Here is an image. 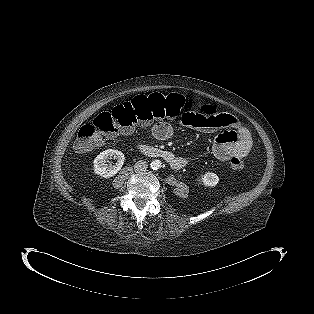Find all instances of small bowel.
<instances>
[{
    "instance_id": "small-bowel-1",
    "label": "small bowel",
    "mask_w": 314,
    "mask_h": 314,
    "mask_svg": "<svg viewBox=\"0 0 314 314\" xmlns=\"http://www.w3.org/2000/svg\"><path fill=\"white\" fill-rule=\"evenodd\" d=\"M181 124L199 132L220 133L215 138L213 152L221 161H230L234 157H245L251 150L252 137L250 131L240 124L238 119L229 113L217 112L213 106L197 107L192 112L186 111L180 117ZM174 129L167 121L156 123L151 133L157 140H167L173 135ZM125 132L124 134H127ZM180 164L174 169H180L186 158L179 157Z\"/></svg>"
}]
</instances>
